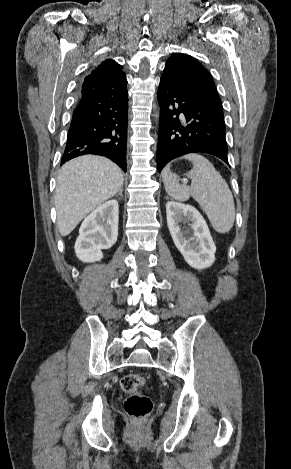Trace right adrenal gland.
Returning a JSON list of instances; mask_svg holds the SVG:
<instances>
[{"label":"right adrenal gland","mask_w":291,"mask_h":469,"mask_svg":"<svg viewBox=\"0 0 291 469\" xmlns=\"http://www.w3.org/2000/svg\"><path fill=\"white\" fill-rule=\"evenodd\" d=\"M122 192H123V189H121V190L119 191V193H118V194H116V196H120L121 198H123V194H122Z\"/></svg>","instance_id":"1"}]
</instances>
